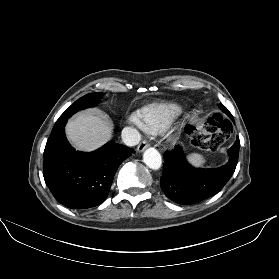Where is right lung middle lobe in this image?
<instances>
[{"label": "right lung middle lobe", "mask_w": 279, "mask_h": 279, "mask_svg": "<svg viewBox=\"0 0 279 279\" xmlns=\"http://www.w3.org/2000/svg\"><path fill=\"white\" fill-rule=\"evenodd\" d=\"M101 97V93L86 94L77 101H75L59 118H69L81 109L95 106L99 102Z\"/></svg>", "instance_id": "dd1d6c3e"}]
</instances>
